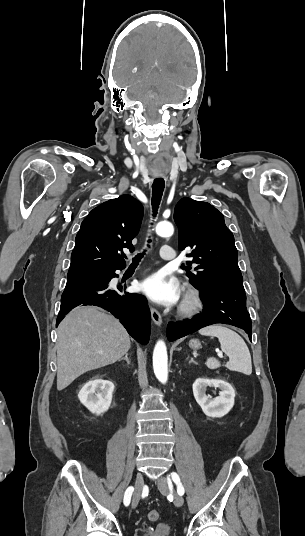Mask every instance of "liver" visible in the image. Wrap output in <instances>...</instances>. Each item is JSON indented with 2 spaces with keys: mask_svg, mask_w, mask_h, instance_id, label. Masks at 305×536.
Wrapping results in <instances>:
<instances>
[{
  "mask_svg": "<svg viewBox=\"0 0 305 536\" xmlns=\"http://www.w3.org/2000/svg\"><path fill=\"white\" fill-rule=\"evenodd\" d=\"M130 338L114 316L101 308H76L58 328L57 390H64L78 376L115 364L130 350Z\"/></svg>",
  "mask_w": 305,
  "mask_h": 536,
  "instance_id": "obj_1",
  "label": "liver"
}]
</instances>
